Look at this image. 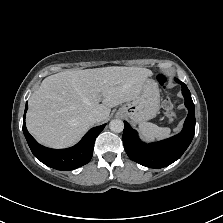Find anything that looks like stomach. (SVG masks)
Instances as JSON below:
<instances>
[{"label": "stomach", "instance_id": "1", "mask_svg": "<svg viewBox=\"0 0 223 223\" xmlns=\"http://www.w3.org/2000/svg\"><path fill=\"white\" fill-rule=\"evenodd\" d=\"M159 88L152 79H147L140 94L124 104L117 112L118 116L128 117L135 123H142L156 116L159 111Z\"/></svg>", "mask_w": 223, "mask_h": 223}]
</instances>
